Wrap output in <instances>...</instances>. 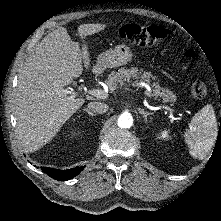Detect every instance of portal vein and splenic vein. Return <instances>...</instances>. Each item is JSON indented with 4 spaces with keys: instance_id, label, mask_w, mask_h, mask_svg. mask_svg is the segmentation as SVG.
Wrapping results in <instances>:
<instances>
[{
    "instance_id": "1",
    "label": "portal vein and splenic vein",
    "mask_w": 221,
    "mask_h": 221,
    "mask_svg": "<svg viewBox=\"0 0 221 221\" xmlns=\"http://www.w3.org/2000/svg\"><path fill=\"white\" fill-rule=\"evenodd\" d=\"M125 89L128 90V88H125ZM86 92H88L90 95H92L96 98H100V99H104L108 96V94L105 91H103L102 89H91V90H86ZM69 93L71 94L72 98H74L77 95L76 92L69 91ZM161 107L165 110L170 111V112L174 111L173 109H171L170 107L165 106V105H162Z\"/></svg>"
}]
</instances>
